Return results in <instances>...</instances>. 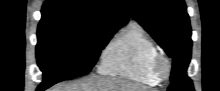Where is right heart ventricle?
Wrapping results in <instances>:
<instances>
[{
  "label": "right heart ventricle",
  "mask_w": 220,
  "mask_h": 91,
  "mask_svg": "<svg viewBox=\"0 0 220 91\" xmlns=\"http://www.w3.org/2000/svg\"><path fill=\"white\" fill-rule=\"evenodd\" d=\"M158 53L155 41L145 28L131 22L106 47L98 70L102 75L155 86L160 81L153 70Z\"/></svg>",
  "instance_id": "obj_1"
}]
</instances>
